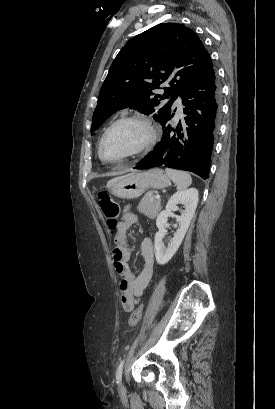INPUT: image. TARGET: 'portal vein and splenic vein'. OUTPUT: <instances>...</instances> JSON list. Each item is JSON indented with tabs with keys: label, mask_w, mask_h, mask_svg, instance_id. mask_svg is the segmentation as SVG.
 <instances>
[{
	"label": "portal vein and splenic vein",
	"mask_w": 275,
	"mask_h": 409,
	"mask_svg": "<svg viewBox=\"0 0 275 409\" xmlns=\"http://www.w3.org/2000/svg\"><path fill=\"white\" fill-rule=\"evenodd\" d=\"M156 198H160V194H157Z\"/></svg>",
	"instance_id": "obj_1"
}]
</instances>
